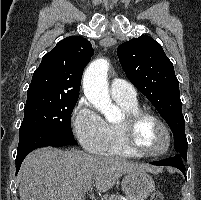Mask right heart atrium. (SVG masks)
Returning <instances> with one entry per match:
<instances>
[{"instance_id":"right-heart-atrium-1","label":"right heart atrium","mask_w":201,"mask_h":200,"mask_svg":"<svg viewBox=\"0 0 201 200\" xmlns=\"http://www.w3.org/2000/svg\"><path fill=\"white\" fill-rule=\"evenodd\" d=\"M71 122L82 147L91 153H102L106 141V122L86 99L79 101L75 107Z\"/></svg>"}]
</instances>
